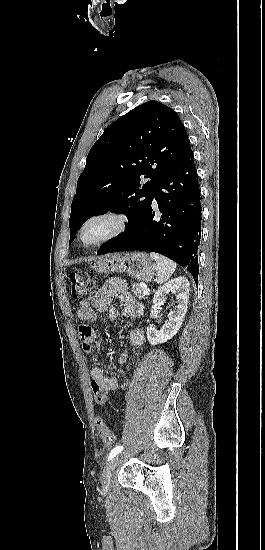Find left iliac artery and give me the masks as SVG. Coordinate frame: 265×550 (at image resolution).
Listing matches in <instances>:
<instances>
[{
	"label": "left iliac artery",
	"mask_w": 265,
	"mask_h": 550,
	"mask_svg": "<svg viewBox=\"0 0 265 550\" xmlns=\"http://www.w3.org/2000/svg\"><path fill=\"white\" fill-rule=\"evenodd\" d=\"M123 450L122 446H116L113 448L108 456V461L112 460L117 454H119Z\"/></svg>",
	"instance_id": "1"
}]
</instances>
